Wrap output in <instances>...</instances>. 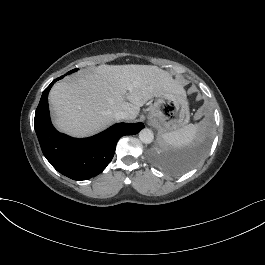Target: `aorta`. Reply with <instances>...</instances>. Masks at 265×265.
I'll use <instances>...</instances> for the list:
<instances>
[{
  "instance_id": "aorta-1",
  "label": "aorta",
  "mask_w": 265,
  "mask_h": 265,
  "mask_svg": "<svg viewBox=\"0 0 265 265\" xmlns=\"http://www.w3.org/2000/svg\"><path fill=\"white\" fill-rule=\"evenodd\" d=\"M139 139L144 144H150L154 139V134L149 128H144L139 132Z\"/></svg>"
}]
</instances>
